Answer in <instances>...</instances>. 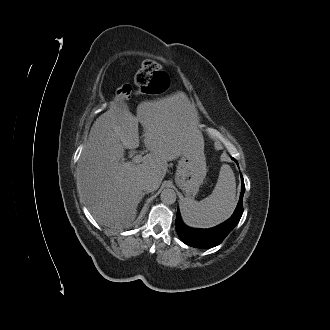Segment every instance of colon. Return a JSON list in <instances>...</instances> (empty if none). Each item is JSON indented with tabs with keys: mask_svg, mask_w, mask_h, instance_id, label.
Returning a JSON list of instances; mask_svg holds the SVG:
<instances>
[{
	"mask_svg": "<svg viewBox=\"0 0 330 330\" xmlns=\"http://www.w3.org/2000/svg\"><path fill=\"white\" fill-rule=\"evenodd\" d=\"M134 87L130 84L121 85L116 94L122 99H129L137 93H159L163 91L168 79L157 60H147L141 64L134 74Z\"/></svg>",
	"mask_w": 330,
	"mask_h": 330,
	"instance_id": "1",
	"label": "colon"
}]
</instances>
